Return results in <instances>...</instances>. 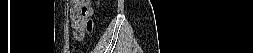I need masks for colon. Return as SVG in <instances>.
Listing matches in <instances>:
<instances>
[{"label": "colon", "mask_w": 253, "mask_h": 53, "mask_svg": "<svg viewBox=\"0 0 253 53\" xmlns=\"http://www.w3.org/2000/svg\"><path fill=\"white\" fill-rule=\"evenodd\" d=\"M88 3V1H73L70 12V21L73 28L78 31H91L92 29V9Z\"/></svg>", "instance_id": "1"}]
</instances>
